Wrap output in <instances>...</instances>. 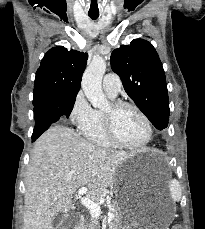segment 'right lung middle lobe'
Instances as JSON below:
<instances>
[{"label": "right lung middle lobe", "instance_id": "obj_1", "mask_svg": "<svg viewBox=\"0 0 205 229\" xmlns=\"http://www.w3.org/2000/svg\"><path fill=\"white\" fill-rule=\"evenodd\" d=\"M76 95L77 94H73V95H69L68 96V99H70L71 101H75V98H76ZM53 98V97H52ZM52 98H44V99H40V100H38V101H33V105H34V107L35 106H37V105H39V104H41V103H43V102H45V101H47V100H50V99H52Z\"/></svg>", "mask_w": 205, "mask_h": 229}]
</instances>
